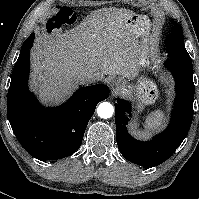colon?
<instances>
[{"label": "colon", "instance_id": "1", "mask_svg": "<svg viewBox=\"0 0 199 199\" xmlns=\"http://www.w3.org/2000/svg\"><path fill=\"white\" fill-rule=\"evenodd\" d=\"M74 22V14L68 8H60L56 14H54L46 24L49 30H53L56 27L65 24H72Z\"/></svg>", "mask_w": 199, "mask_h": 199}]
</instances>
